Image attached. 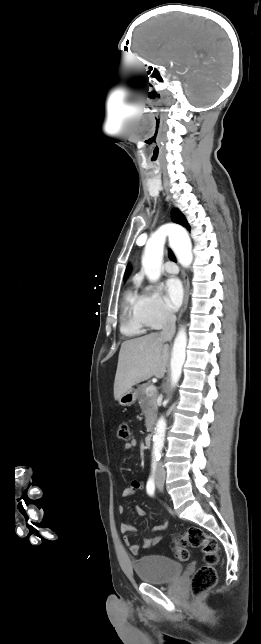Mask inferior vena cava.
Segmentation results:
<instances>
[{
  "label": "inferior vena cava",
  "instance_id": "1",
  "mask_svg": "<svg viewBox=\"0 0 261 644\" xmlns=\"http://www.w3.org/2000/svg\"><path fill=\"white\" fill-rule=\"evenodd\" d=\"M175 322H176V316L174 314L166 312L165 313L164 327H163V330H162V332L160 334L161 337H163L165 339H170L171 338V335L175 330ZM156 474H163V475L165 474V470H164L163 464L161 462H159L157 464Z\"/></svg>",
  "mask_w": 261,
  "mask_h": 644
}]
</instances>
